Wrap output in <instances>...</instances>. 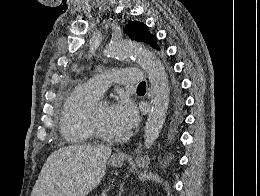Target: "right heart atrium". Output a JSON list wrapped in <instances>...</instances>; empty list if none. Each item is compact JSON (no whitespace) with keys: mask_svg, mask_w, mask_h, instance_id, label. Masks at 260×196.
Returning <instances> with one entry per match:
<instances>
[{"mask_svg":"<svg viewBox=\"0 0 260 196\" xmlns=\"http://www.w3.org/2000/svg\"><path fill=\"white\" fill-rule=\"evenodd\" d=\"M76 191L77 190H54V192H76Z\"/></svg>","mask_w":260,"mask_h":196,"instance_id":"right-heart-atrium-1","label":"right heart atrium"}]
</instances>
